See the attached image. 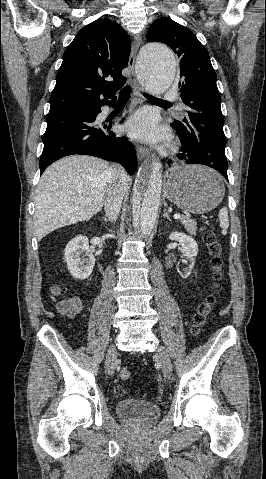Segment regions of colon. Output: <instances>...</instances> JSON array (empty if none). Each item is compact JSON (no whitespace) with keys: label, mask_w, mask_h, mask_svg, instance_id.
Listing matches in <instances>:
<instances>
[{"label":"colon","mask_w":266,"mask_h":479,"mask_svg":"<svg viewBox=\"0 0 266 479\" xmlns=\"http://www.w3.org/2000/svg\"><path fill=\"white\" fill-rule=\"evenodd\" d=\"M203 239L205 244L208 246V249L212 255L211 265L213 270V280L214 286L218 287L219 282L222 278L221 268H222V258H221V245L218 241L216 233L208 228H203ZM216 301L215 292L209 294L205 300L199 305L198 311L194 317V325L192 327L193 334H198L200 328L204 325L207 320L208 315L211 312L212 306ZM120 377L123 380H128L131 377V371L128 368H124L120 371Z\"/></svg>","instance_id":"5ec220e1"}]
</instances>
